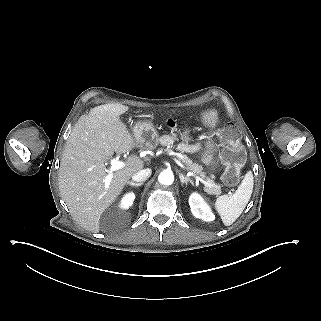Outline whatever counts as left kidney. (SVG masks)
Returning <instances> with one entry per match:
<instances>
[{"mask_svg": "<svg viewBox=\"0 0 321 321\" xmlns=\"http://www.w3.org/2000/svg\"><path fill=\"white\" fill-rule=\"evenodd\" d=\"M189 205L191 212L195 217L202 218L205 221H212L214 219V215L210 212L205 202L198 194L193 193L190 196Z\"/></svg>", "mask_w": 321, "mask_h": 321, "instance_id": "left-kidney-1", "label": "left kidney"}]
</instances>
